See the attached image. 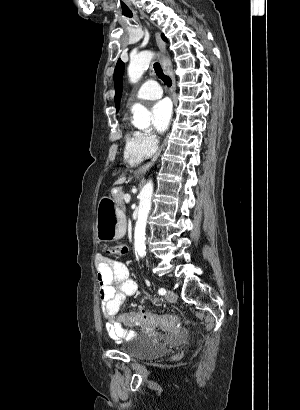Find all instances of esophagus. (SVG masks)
<instances>
[{"label": "esophagus", "instance_id": "34e87169", "mask_svg": "<svg viewBox=\"0 0 300 410\" xmlns=\"http://www.w3.org/2000/svg\"><path fill=\"white\" fill-rule=\"evenodd\" d=\"M155 38H156V42H157V44L159 46V49L161 51V54H162V58H161L162 67L171 76L172 81H173V90H175V88H176L175 77H174V74H173L172 69H171V62H170V60H169V58L166 54V45H165L164 41L161 39L159 33H155ZM174 102H176L175 98H174ZM160 152H161V150L152 158L151 161H149L147 164L140 167L137 170V172L138 173L146 172L154 164V162L157 160Z\"/></svg>", "mask_w": 300, "mask_h": 410}]
</instances>
